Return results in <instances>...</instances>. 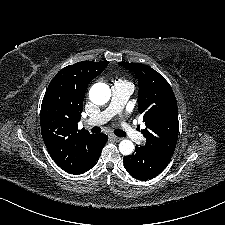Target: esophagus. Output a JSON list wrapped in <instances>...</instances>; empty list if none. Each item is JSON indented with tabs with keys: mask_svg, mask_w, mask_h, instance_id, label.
Instances as JSON below:
<instances>
[{
	"mask_svg": "<svg viewBox=\"0 0 225 225\" xmlns=\"http://www.w3.org/2000/svg\"><path fill=\"white\" fill-rule=\"evenodd\" d=\"M109 138H110L111 140H113V141H116V142H118V141H121V140H122V138L117 137V136H114V135H110V136H109Z\"/></svg>",
	"mask_w": 225,
	"mask_h": 225,
	"instance_id": "esophagus-1",
	"label": "esophagus"
}]
</instances>
